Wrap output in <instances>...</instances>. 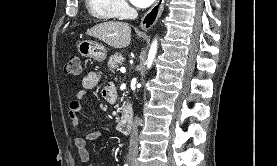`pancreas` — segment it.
<instances>
[{"label": "pancreas", "mask_w": 277, "mask_h": 166, "mask_svg": "<svg viewBox=\"0 0 277 166\" xmlns=\"http://www.w3.org/2000/svg\"><path fill=\"white\" fill-rule=\"evenodd\" d=\"M122 58V55L120 53H116L114 55H112L109 58L108 61V69L111 70L112 72L115 71V69H118V65L122 64V61L120 60Z\"/></svg>", "instance_id": "obj_1"}]
</instances>
